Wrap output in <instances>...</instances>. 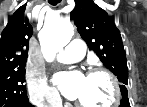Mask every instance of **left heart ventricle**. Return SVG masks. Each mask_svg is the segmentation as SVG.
<instances>
[{"mask_svg":"<svg viewBox=\"0 0 147 107\" xmlns=\"http://www.w3.org/2000/svg\"><path fill=\"white\" fill-rule=\"evenodd\" d=\"M112 99V89L109 81L102 75L86 77L81 95L77 98L89 106H103Z\"/></svg>","mask_w":147,"mask_h":107,"instance_id":"obj_1","label":"left heart ventricle"}]
</instances>
